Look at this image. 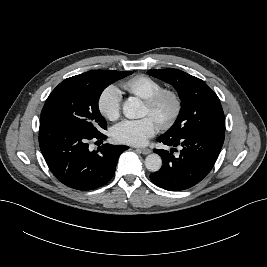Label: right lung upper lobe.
<instances>
[{"instance_id":"cb5924a9","label":"right lung upper lobe","mask_w":267,"mask_h":267,"mask_svg":"<svg viewBox=\"0 0 267 267\" xmlns=\"http://www.w3.org/2000/svg\"><path fill=\"white\" fill-rule=\"evenodd\" d=\"M99 70H94V71H89V72H86V73H83V74H80V75H76V76H80V77H84V76H89V75H92L96 72H98Z\"/></svg>"}]
</instances>
